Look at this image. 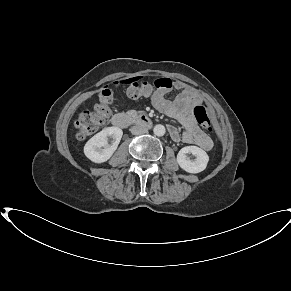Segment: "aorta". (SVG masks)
<instances>
[{
	"label": "aorta",
	"instance_id": "1",
	"mask_svg": "<svg viewBox=\"0 0 291 291\" xmlns=\"http://www.w3.org/2000/svg\"><path fill=\"white\" fill-rule=\"evenodd\" d=\"M153 132L156 136H163L166 132V129L163 125L158 124L154 126Z\"/></svg>",
	"mask_w": 291,
	"mask_h": 291
}]
</instances>
